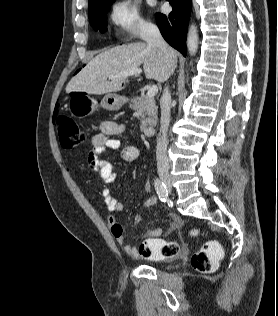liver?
Masks as SVG:
<instances>
[{
    "instance_id": "liver-1",
    "label": "liver",
    "mask_w": 278,
    "mask_h": 316,
    "mask_svg": "<svg viewBox=\"0 0 278 316\" xmlns=\"http://www.w3.org/2000/svg\"><path fill=\"white\" fill-rule=\"evenodd\" d=\"M141 65L147 79L163 82L176 69L177 55L171 49L166 59L158 48L144 42L117 46L94 57L69 81L66 92L100 95L121 91L129 81L126 78L109 79V76Z\"/></svg>"
}]
</instances>
